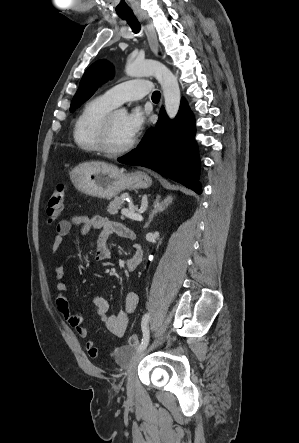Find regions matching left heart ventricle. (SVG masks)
<instances>
[{
	"label": "left heart ventricle",
	"mask_w": 299,
	"mask_h": 443,
	"mask_svg": "<svg viewBox=\"0 0 299 443\" xmlns=\"http://www.w3.org/2000/svg\"><path fill=\"white\" fill-rule=\"evenodd\" d=\"M125 116L122 112H115L114 114L111 134V145L114 148L124 147L133 140L124 126Z\"/></svg>",
	"instance_id": "1"
}]
</instances>
